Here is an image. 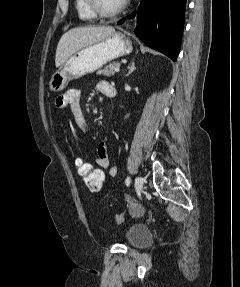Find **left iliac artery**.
Instances as JSON below:
<instances>
[{
    "label": "left iliac artery",
    "mask_w": 240,
    "mask_h": 287,
    "mask_svg": "<svg viewBox=\"0 0 240 287\" xmlns=\"http://www.w3.org/2000/svg\"><path fill=\"white\" fill-rule=\"evenodd\" d=\"M125 183L127 186L130 184V178L129 177L126 178Z\"/></svg>",
    "instance_id": "1"
}]
</instances>
